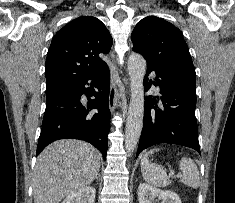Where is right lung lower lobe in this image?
Listing matches in <instances>:
<instances>
[{"label":"right lung lower lobe","mask_w":235,"mask_h":203,"mask_svg":"<svg viewBox=\"0 0 235 203\" xmlns=\"http://www.w3.org/2000/svg\"><path fill=\"white\" fill-rule=\"evenodd\" d=\"M89 80L97 91L85 87ZM109 91L110 73L106 65L46 97L36 156L50 143L72 138L91 143L102 152L105 160L110 130ZM82 94L95 99L83 105Z\"/></svg>","instance_id":"98d812e1"}]
</instances>
